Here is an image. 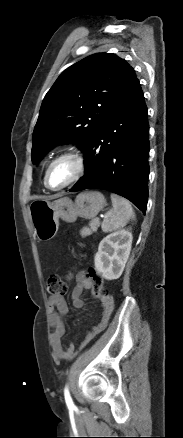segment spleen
<instances>
[{"label":"spleen","instance_id":"3e777b00","mask_svg":"<svg viewBox=\"0 0 183 438\" xmlns=\"http://www.w3.org/2000/svg\"><path fill=\"white\" fill-rule=\"evenodd\" d=\"M111 201L113 208L105 214L102 223V230L106 233L124 227L135 218L133 208L125 198L111 194Z\"/></svg>","mask_w":183,"mask_h":438}]
</instances>
